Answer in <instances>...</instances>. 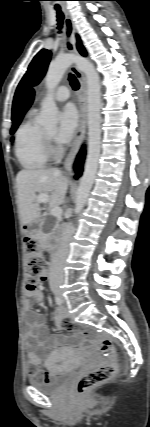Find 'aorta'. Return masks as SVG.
Here are the masks:
<instances>
[{
  "label": "aorta",
  "mask_w": 150,
  "mask_h": 427,
  "mask_svg": "<svg viewBox=\"0 0 150 427\" xmlns=\"http://www.w3.org/2000/svg\"><path fill=\"white\" fill-rule=\"evenodd\" d=\"M75 64L83 72L87 82V125L88 153L85 170L77 190L75 211L80 212L86 204L93 186L101 149V86L99 75L88 59L78 55H59L49 66L45 76L47 95L42 103L39 123L47 129H55L58 123V109L54 101V90L66 70Z\"/></svg>",
  "instance_id": "1"
}]
</instances>
